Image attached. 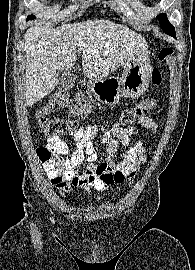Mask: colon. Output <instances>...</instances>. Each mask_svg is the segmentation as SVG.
I'll return each instance as SVG.
<instances>
[{"label": "colon", "instance_id": "colon-1", "mask_svg": "<svg viewBox=\"0 0 195 270\" xmlns=\"http://www.w3.org/2000/svg\"><path fill=\"white\" fill-rule=\"evenodd\" d=\"M173 54L171 48H164L160 51L158 59L160 62L166 61ZM151 81L155 86L162 82V74L158 68H155L151 75ZM68 108L71 116L77 119L88 117L94 107L95 101L92 98L88 87L84 84L79 86L77 104H71L67 92H56L38 111L37 121L40 128L48 137H57L60 135L75 134L78 124L69 119L49 118V115L56 108ZM156 107V100L153 98L145 99L138 104L124 110L119 118L117 125L128 126L133 124L139 118L152 112ZM37 155L51 184L59 190H66L70 177L64 167V158L58 152L49 146H42L37 149Z\"/></svg>", "mask_w": 195, "mask_h": 270}]
</instances>
